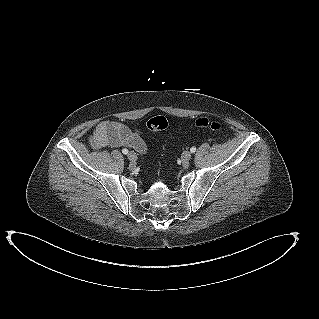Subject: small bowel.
<instances>
[{
    "label": "small bowel",
    "mask_w": 319,
    "mask_h": 319,
    "mask_svg": "<svg viewBox=\"0 0 319 319\" xmlns=\"http://www.w3.org/2000/svg\"><path fill=\"white\" fill-rule=\"evenodd\" d=\"M92 146L96 149L105 147L119 148L126 146L134 150L145 153L147 144L140 130H132L119 122H101L91 139Z\"/></svg>",
    "instance_id": "obj_1"
}]
</instances>
